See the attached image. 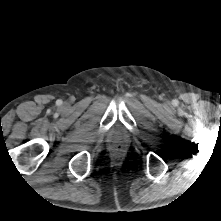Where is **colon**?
Returning <instances> with one entry per match:
<instances>
[{
    "mask_svg": "<svg viewBox=\"0 0 221 221\" xmlns=\"http://www.w3.org/2000/svg\"><path fill=\"white\" fill-rule=\"evenodd\" d=\"M120 150H121V146H116V147H115V151L118 152V151H120Z\"/></svg>",
    "mask_w": 221,
    "mask_h": 221,
    "instance_id": "1",
    "label": "colon"
}]
</instances>
